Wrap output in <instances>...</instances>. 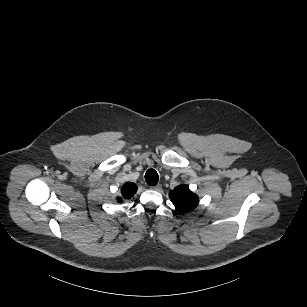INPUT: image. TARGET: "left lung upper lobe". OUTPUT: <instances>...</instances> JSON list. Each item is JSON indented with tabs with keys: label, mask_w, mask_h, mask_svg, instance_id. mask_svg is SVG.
<instances>
[{
	"label": "left lung upper lobe",
	"mask_w": 307,
	"mask_h": 307,
	"mask_svg": "<svg viewBox=\"0 0 307 307\" xmlns=\"http://www.w3.org/2000/svg\"><path fill=\"white\" fill-rule=\"evenodd\" d=\"M169 197L175 208L180 212H188L197 207L199 199L191 192L187 185L181 184L169 193Z\"/></svg>",
	"instance_id": "obj_1"
}]
</instances>
